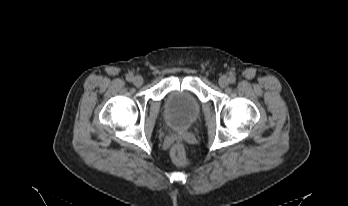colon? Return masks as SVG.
<instances>
[{
	"mask_svg": "<svg viewBox=\"0 0 348 206\" xmlns=\"http://www.w3.org/2000/svg\"><path fill=\"white\" fill-rule=\"evenodd\" d=\"M171 156H172V160L180 166H184L187 164L188 160H187V154L185 152L184 147L179 144L176 143L172 149H171Z\"/></svg>",
	"mask_w": 348,
	"mask_h": 206,
	"instance_id": "1",
	"label": "colon"
}]
</instances>
